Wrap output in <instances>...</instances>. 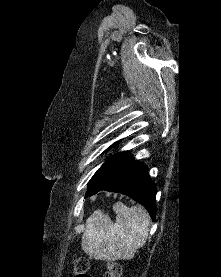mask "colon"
Wrapping results in <instances>:
<instances>
[{"instance_id":"colon-1","label":"colon","mask_w":221,"mask_h":277,"mask_svg":"<svg viewBox=\"0 0 221 277\" xmlns=\"http://www.w3.org/2000/svg\"><path fill=\"white\" fill-rule=\"evenodd\" d=\"M90 263L88 259L81 257L76 260L73 277H90L89 275ZM122 268L118 263L109 262L106 264L107 277H121Z\"/></svg>"}]
</instances>
